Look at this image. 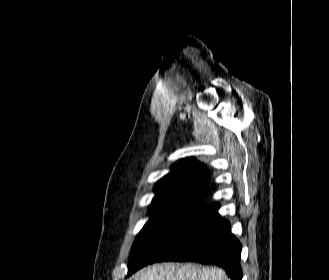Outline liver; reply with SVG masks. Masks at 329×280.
<instances>
[{"instance_id": "6515ba94", "label": "liver", "mask_w": 329, "mask_h": 280, "mask_svg": "<svg viewBox=\"0 0 329 280\" xmlns=\"http://www.w3.org/2000/svg\"><path fill=\"white\" fill-rule=\"evenodd\" d=\"M134 280H223V272L193 264L161 263L141 269Z\"/></svg>"}]
</instances>
